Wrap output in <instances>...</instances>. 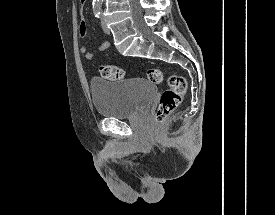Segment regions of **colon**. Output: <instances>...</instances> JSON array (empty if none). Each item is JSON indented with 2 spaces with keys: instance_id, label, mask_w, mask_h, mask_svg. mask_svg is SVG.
Returning a JSON list of instances; mask_svg holds the SVG:
<instances>
[{
  "instance_id": "1",
  "label": "colon",
  "mask_w": 275,
  "mask_h": 215,
  "mask_svg": "<svg viewBox=\"0 0 275 215\" xmlns=\"http://www.w3.org/2000/svg\"><path fill=\"white\" fill-rule=\"evenodd\" d=\"M100 73L103 78L120 80L123 77V69L116 65H101ZM147 79L155 84L161 83L163 74L160 69L147 70ZM168 87L162 92L155 112V121L161 123L176 109L186 92V80L178 75H171L167 80Z\"/></svg>"
}]
</instances>
